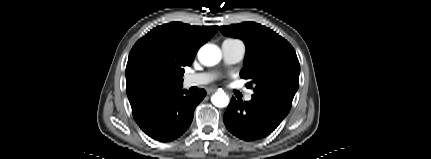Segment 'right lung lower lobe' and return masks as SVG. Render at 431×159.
Wrapping results in <instances>:
<instances>
[{
	"instance_id": "98d812e1",
	"label": "right lung lower lobe",
	"mask_w": 431,
	"mask_h": 159,
	"mask_svg": "<svg viewBox=\"0 0 431 159\" xmlns=\"http://www.w3.org/2000/svg\"><path fill=\"white\" fill-rule=\"evenodd\" d=\"M205 96V90L195 95L180 88L152 98L134 110L133 117L151 138L161 142L173 141L191 125L194 109Z\"/></svg>"
}]
</instances>
